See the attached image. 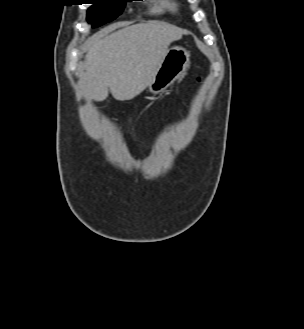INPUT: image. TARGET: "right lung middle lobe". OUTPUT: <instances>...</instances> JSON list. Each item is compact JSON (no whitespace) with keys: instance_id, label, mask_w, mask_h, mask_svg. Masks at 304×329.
I'll return each instance as SVG.
<instances>
[{"instance_id":"1","label":"right lung middle lobe","mask_w":304,"mask_h":329,"mask_svg":"<svg viewBox=\"0 0 304 329\" xmlns=\"http://www.w3.org/2000/svg\"><path fill=\"white\" fill-rule=\"evenodd\" d=\"M130 0H92L93 6L88 9L87 21L92 27H98L118 17Z\"/></svg>"}]
</instances>
